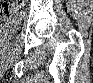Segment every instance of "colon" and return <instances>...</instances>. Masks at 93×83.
I'll list each match as a JSON object with an SVG mask.
<instances>
[{
	"instance_id": "5ec220e1",
	"label": "colon",
	"mask_w": 93,
	"mask_h": 83,
	"mask_svg": "<svg viewBox=\"0 0 93 83\" xmlns=\"http://www.w3.org/2000/svg\"><path fill=\"white\" fill-rule=\"evenodd\" d=\"M6 5H4L1 9V14L3 19H7L10 16L14 15L18 11V6H21L24 4L23 1H6Z\"/></svg>"
}]
</instances>
